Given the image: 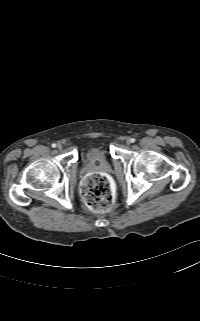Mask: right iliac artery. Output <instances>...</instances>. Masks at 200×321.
I'll list each match as a JSON object with an SVG mask.
<instances>
[{"instance_id":"1","label":"right iliac artery","mask_w":200,"mask_h":321,"mask_svg":"<svg viewBox=\"0 0 200 321\" xmlns=\"http://www.w3.org/2000/svg\"><path fill=\"white\" fill-rule=\"evenodd\" d=\"M51 146H52L53 148H55V147H56V144H55V143H53Z\"/></svg>"}]
</instances>
